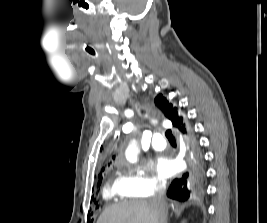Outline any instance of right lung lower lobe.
Segmentation results:
<instances>
[{
    "instance_id": "right-lung-lower-lobe-1",
    "label": "right lung lower lobe",
    "mask_w": 267,
    "mask_h": 223,
    "mask_svg": "<svg viewBox=\"0 0 267 223\" xmlns=\"http://www.w3.org/2000/svg\"><path fill=\"white\" fill-rule=\"evenodd\" d=\"M181 133L186 136L187 141L193 142L192 133L188 129V125H186ZM191 152L192 158L190 159L188 170L180 177L174 179L167 191V196L172 199L179 201L187 200L193 188L199 184L203 178L204 171L201 157L196 148H193Z\"/></svg>"
}]
</instances>
